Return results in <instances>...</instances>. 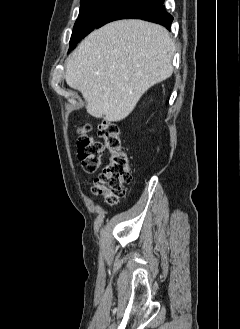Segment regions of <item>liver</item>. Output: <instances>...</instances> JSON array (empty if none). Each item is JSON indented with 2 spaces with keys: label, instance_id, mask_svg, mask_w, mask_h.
Here are the masks:
<instances>
[{
  "label": "liver",
  "instance_id": "6515ba94",
  "mask_svg": "<svg viewBox=\"0 0 240 329\" xmlns=\"http://www.w3.org/2000/svg\"><path fill=\"white\" fill-rule=\"evenodd\" d=\"M175 42L162 26L120 20L91 32L71 54L65 80L80 91L88 113L125 119L142 95L173 73Z\"/></svg>",
  "mask_w": 240,
  "mask_h": 329
}]
</instances>
